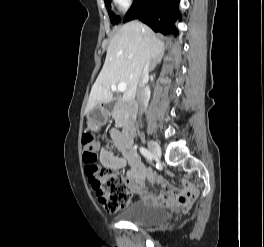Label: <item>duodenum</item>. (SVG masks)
I'll return each mask as SVG.
<instances>
[{"label":"duodenum","instance_id":"obj_1","mask_svg":"<svg viewBox=\"0 0 264 247\" xmlns=\"http://www.w3.org/2000/svg\"><path fill=\"white\" fill-rule=\"evenodd\" d=\"M137 110L136 104L132 103L129 106L130 115H133ZM122 130L126 136H133L136 132V126L133 119L130 117L122 122Z\"/></svg>","mask_w":264,"mask_h":247}]
</instances>
